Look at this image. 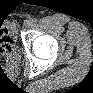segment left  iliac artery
<instances>
[{
    "mask_svg": "<svg viewBox=\"0 0 93 93\" xmlns=\"http://www.w3.org/2000/svg\"><path fill=\"white\" fill-rule=\"evenodd\" d=\"M37 21H38V20H37L36 18L32 19V22H33V23H37Z\"/></svg>",
    "mask_w": 93,
    "mask_h": 93,
    "instance_id": "44dca946",
    "label": "left iliac artery"
}]
</instances>
